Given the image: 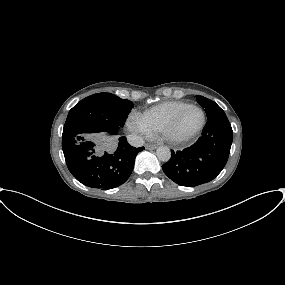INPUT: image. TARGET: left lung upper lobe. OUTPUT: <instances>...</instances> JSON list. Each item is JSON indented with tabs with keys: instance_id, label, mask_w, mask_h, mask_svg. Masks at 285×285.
<instances>
[{
	"instance_id": "obj_1",
	"label": "left lung upper lobe",
	"mask_w": 285,
	"mask_h": 285,
	"mask_svg": "<svg viewBox=\"0 0 285 285\" xmlns=\"http://www.w3.org/2000/svg\"><path fill=\"white\" fill-rule=\"evenodd\" d=\"M197 102L205 109L207 119L216 116H225L224 111L214 101L203 96H197Z\"/></svg>"
}]
</instances>
